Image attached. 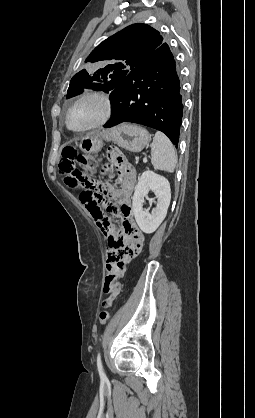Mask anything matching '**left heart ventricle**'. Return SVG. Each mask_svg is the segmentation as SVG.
<instances>
[{
	"label": "left heart ventricle",
	"mask_w": 255,
	"mask_h": 418,
	"mask_svg": "<svg viewBox=\"0 0 255 418\" xmlns=\"http://www.w3.org/2000/svg\"><path fill=\"white\" fill-rule=\"evenodd\" d=\"M102 104L98 99L81 101L70 112L69 124L74 129L85 128L94 123L101 115Z\"/></svg>",
	"instance_id": "b2bd125f"
}]
</instances>
